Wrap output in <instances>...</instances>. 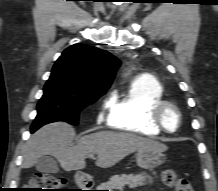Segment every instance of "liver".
I'll return each mask as SVG.
<instances>
[{
  "label": "liver",
  "instance_id": "6515ba94",
  "mask_svg": "<svg viewBox=\"0 0 218 191\" xmlns=\"http://www.w3.org/2000/svg\"><path fill=\"white\" fill-rule=\"evenodd\" d=\"M74 128L65 122L48 124L35 132L27 142L23 155V168H31L46 155L54 156L65 171L85 168V158L97 154L96 165L114 166L127 155L140 150L164 152L167 146L135 134L100 131L83 136L76 145Z\"/></svg>",
  "mask_w": 218,
  "mask_h": 191
}]
</instances>
